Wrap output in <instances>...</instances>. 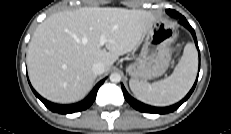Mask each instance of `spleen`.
<instances>
[{
	"mask_svg": "<svg viewBox=\"0 0 231 134\" xmlns=\"http://www.w3.org/2000/svg\"><path fill=\"white\" fill-rule=\"evenodd\" d=\"M198 56L193 43H187L173 73L152 84L131 79L129 86L142 102L153 106H169L181 100L191 89L197 74Z\"/></svg>",
	"mask_w": 231,
	"mask_h": 134,
	"instance_id": "3e777b00",
	"label": "spleen"
}]
</instances>
